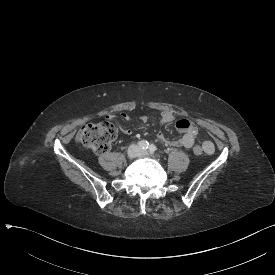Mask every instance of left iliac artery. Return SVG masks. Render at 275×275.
<instances>
[{
  "instance_id": "obj_1",
  "label": "left iliac artery",
  "mask_w": 275,
  "mask_h": 275,
  "mask_svg": "<svg viewBox=\"0 0 275 275\" xmlns=\"http://www.w3.org/2000/svg\"><path fill=\"white\" fill-rule=\"evenodd\" d=\"M148 149L150 153H154L156 152L157 147L154 144H150Z\"/></svg>"
}]
</instances>
